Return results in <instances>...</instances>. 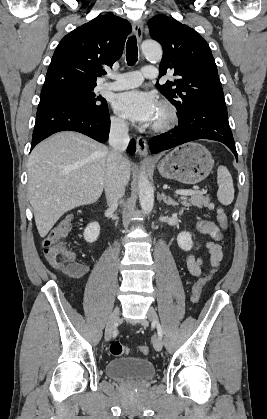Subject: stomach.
<instances>
[{
	"instance_id": "1",
	"label": "stomach",
	"mask_w": 267,
	"mask_h": 419,
	"mask_svg": "<svg viewBox=\"0 0 267 419\" xmlns=\"http://www.w3.org/2000/svg\"><path fill=\"white\" fill-rule=\"evenodd\" d=\"M211 153L203 145L190 142L174 148L158 164L159 173L183 184L204 180L213 168Z\"/></svg>"
}]
</instances>
